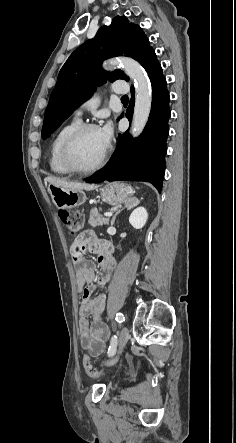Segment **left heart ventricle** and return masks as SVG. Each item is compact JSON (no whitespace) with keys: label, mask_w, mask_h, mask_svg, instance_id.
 I'll return each instance as SVG.
<instances>
[{"label":"left heart ventricle","mask_w":236,"mask_h":443,"mask_svg":"<svg viewBox=\"0 0 236 443\" xmlns=\"http://www.w3.org/2000/svg\"><path fill=\"white\" fill-rule=\"evenodd\" d=\"M107 146L105 145L99 129L86 131L72 148V159L81 168L95 165Z\"/></svg>","instance_id":"left-heart-ventricle-1"}]
</instances>
